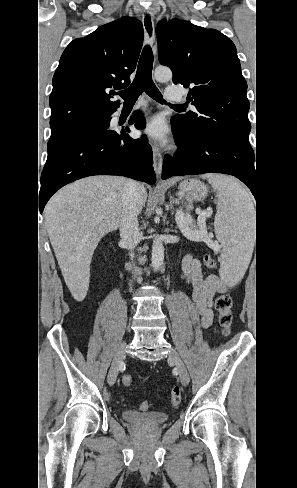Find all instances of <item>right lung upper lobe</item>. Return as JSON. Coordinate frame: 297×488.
<instances>
[{"label":"right lung upper lobe","mask_w":297,"mask_h":488,"mask_svg":"<svg viewBox=\"0 0 297 488\" xmlns=\"http://www.w3.org/2000/svg\"><path fill=\"white\" fill-rule=\"evenodd\" d=\"M142 44V24L129 17L73 40L53 76L51 133L111 116L120 105L111 95L130 84Z\"/></svg>","instance_id":"obj_1"}]
</instances>
